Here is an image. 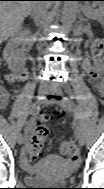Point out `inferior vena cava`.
<instances>
[{
    "label": "inferior vena cava",
    "instance_id": "inferior-vena-cava-1",
    "mask_svg": "<svg viewBox=\"0 0 104 189\" xmlns=\"http://www.w3.org/2000/svg\"><path fill=\"white\" fill-rule=\"evenodd\" d=\"M37 3L38 5L32 10L31 14L34 19L35 25L39 26L43 23L44 18L46 16L48 3L44 1L43 2L38 1ZM39 79L41 80V84H42L40 85V88H49L50 83L46 82V80L49 79L48 77H40Z\"/></svg>",
    "mask_w": 104,
    "mask_h": 189
}]
</instances>
